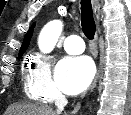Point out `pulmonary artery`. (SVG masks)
I'll return each mask as SVG.
<instances>
[{
    "label": "pulmonary artery",
    "instance_id": "1",
    "mask_svg": "<svg viewBox=\"0 0 131 115\" xmlns=\"http://www.w3.org/2000/svg\"><path fill=\"white\" fill-rule=\"evenodd\" d=\"M64 48L67 53L76 55L84 51V43L78 35H70L64 41Z\"/></svg>",
    "mask_w": 131,
    "mask_h": 115
}]
</instances>
